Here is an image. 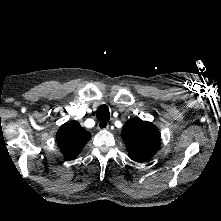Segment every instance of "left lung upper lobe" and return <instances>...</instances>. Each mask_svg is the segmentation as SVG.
<instances>
[{
    "mask_svg": "<svg viewBox=\"0 0 221 221\" xmlns=\"http://www.w3.org/2000/svg\"><path fill=\"white\" fill-rule=\"evenodd\" d=\"M129 157L136 162L151 159L160 147L159 130L139 118L128 120L121 132Z\"/></svg>",
    "mask_w": 221,
    "mask_h": 221,
    "instance_id": "5c2ea615",
    "label": "left lung upper lobe"
}]
</instances>
